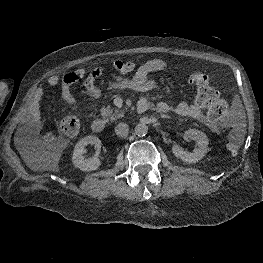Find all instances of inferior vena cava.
Returning a JSON list of instances; mask_svg holds the SVG:
<instances>
[{"instance_id": "1", "label": "inferior vena cava", "mask_w": 263, "mask_h": 263, "mask_svg": "<svg viewBox=\"0 0 263 263\" xmlns=\"http://www.w3.org/2000/svg\"><path fill=\"white\" fill-rule=\"evenodd\" d=\"M129 132V126L126 123H119L116 127H115V133L116 135L120 136V137H125L128 135Z\"/></svg>"}]
</instances>
